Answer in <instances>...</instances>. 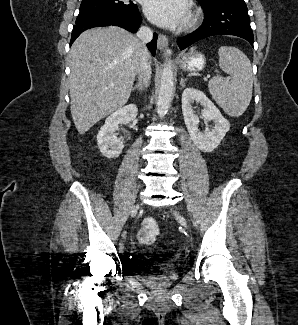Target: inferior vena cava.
<instances>
[{
    "label": "inferior vena cava",
    "instance_id": "inferior-vena-cava-1",
    "mask_svg": "<svg viewBox=\"0 0 298 325\" xmlns=\"http://www.w3.org/2000/svg\"><path fill=\"white\" fill-rule=\"evenodd\" d=\"M137 36L142 44V50L140 52V60L137 66L138 78H142L146 82L147 86L150 84L151 80V62H150V52L146 46L147 42H150L153 38V30L148 28V26H140Z\"/></svg>",
    "mask_w": 298,
    "mask_h": 325
}]
</instances>
